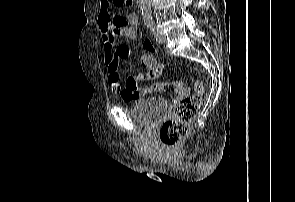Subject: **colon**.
<instances>
[{"instance_id": "obj_1", "label": "colon", "mask_w": 295, "mask_h": 202, "mask_svg": "<svg viewBox=\"0 0 295 202\" xmlns=\"http://www.w3.org/2000/svg\"><path fill=\"white\" fill-rule=\"evenodd\" d=\"M111 2L119 7H129L133 0H111ZM140 61L148 74L160 76L165 69L164 64L157 63V56H154V52H144V56H140ZM138 75H144V70H138ZM137 84H139V79L129 78L126 90H137ZM193 86L195 92L190 95V98H183L179 107L175 108L173 117L166 120L161 126L160 139L165 145L176 146L188 134L190 123L200 108L204 95V87L200 80L194 79ZM168 87L177 92L184 89L183 83L176 81L171 83L150 82L149 85H144V90L162 91Z\"/></svg>"}]
</instances>
